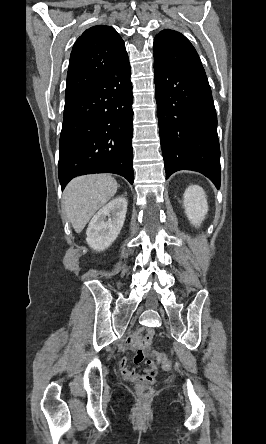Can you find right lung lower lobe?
Wrapping results in <instances>:
<instances>
[{"label": "right lung lower lobe", "instance_id": "1", "mask_svg": "<svg viewBox=\"0 0 266 444\" xmlns=\"http://www.w3.org/2000/svg\"><path fill=\"white\" fill-rule=\"evenodd\" d=\"M130 76L127 58L65 102L58 163L62 189L74 177L92 173H116L133 183Z\"/></svg>", "mask_w": 266, "mask_h": 444}]
</instances>
